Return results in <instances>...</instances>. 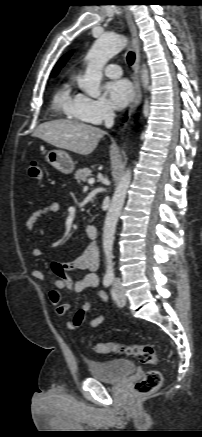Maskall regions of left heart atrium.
<instances>
[{
	"label": "left heart atrium",
	"mask_w": 202,
	"mask_h": 437,
	"mask_svg": "<svg viewBox=\"0 0 202 437\" xmlns=\"http://www.w3.org/2000/svg\"><path fill=\"white\" fill-rule=\"evenodd\" d=\"M105 89L114 106L119 109L125 107L134 95L133 87L126 79L110 81Z\"/></svg>",
	"instance_id": "obj_1"
}]
</instances>
